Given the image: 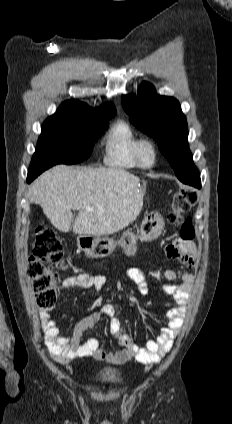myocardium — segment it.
<instances>
[{
    "mask_svg": "<svg viewBox=\"0 0 232 424\" xmlns=\"http://www.w3.org/2000/svg\"><path fill=\"white\" fill-rule=\"evenodd\" d=\"M144 147H148L151 151V160L149 163H145L142 159V150ZM135 158L137 160L138 165L141 168H150L152 167L157 159V147L155 143L151 139H141L136 145L135 148Z\"/></svg>",
    "mask_w": 232,
    "mask_h": 424,
    "instance_id": "f54148a6",
    "label": "myocardium"
}]
</instances>
